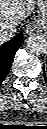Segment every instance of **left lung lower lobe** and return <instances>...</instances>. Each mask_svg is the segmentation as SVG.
<instances>
[{
    "instance_id": "1",
    "label": "left lung lower lobe",
    "mask_w": 47,
    "mask_h": 129,
    "mask_svg": "<svg viewBox=\"0 0 47 129\" xmlns=\"http://www.w3.org/2000/svg\"><path fill=\"white\" fill-rule=\"evenodd\" d=\"M43 75H44V78H45V80H46V82H47V77H46V74H45L44 68H43Z\"/></svg>"
}]
</instances>
